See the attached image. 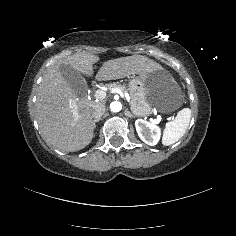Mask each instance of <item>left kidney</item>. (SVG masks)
<instances>
[{
	"mask_svg": "<svg viewBox=\"0 0 236 236\" xmlns=\"http://www.w3.org/2000/svg\"><path fill=\"white\" fill-rule=\"evenodd\" d=\"M135 127L141 140L147 145L155 146L159 143L162 129L159 125L139 118L135 121Z\"/></svg>",
	"mask_w": 236,
	"mask_h": 236,
	"instance_id": "left-kidney-1",
	"label": "left kidney"
}]
</instances>
